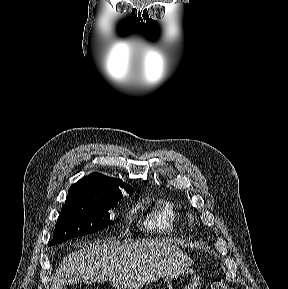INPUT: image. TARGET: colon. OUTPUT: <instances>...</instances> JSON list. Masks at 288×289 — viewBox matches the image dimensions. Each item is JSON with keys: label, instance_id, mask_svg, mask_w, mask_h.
Returning <instances> with one entry per match:
<instances>
[{"label": "colon", "instance_id": "colon-1", "mask_svg": "<svg viewBox=\"0 0 288 289\" xmlns=\"http://www.w3.org/2000/svg\"><path fill=\"white\" fill-rule=\"evenodd\" d=\"M209 289H231L224 281L214 279L209 284Z\"/></svg>", "mask_w": 288, "mask_h": 289}]
</instances>
